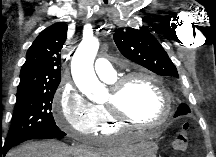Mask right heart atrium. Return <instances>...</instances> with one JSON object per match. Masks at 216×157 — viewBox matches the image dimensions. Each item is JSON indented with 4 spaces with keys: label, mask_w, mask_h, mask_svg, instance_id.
Listing matches in <instances>:
<instances>
[{
    "label": "right heart atrium",
    "mask_w": 216,
    "mask_h": 157,
    "mask_svg": "<svg viewBox=\"0 0 216 157\" xmlns=\"http://www.w3.org/2000/svg\"><path fill=\"white\" fill-rule=\"evenodd\" d=\"M57 125L72 136H89L97 132L99 116L90 103L72 84L65 83L57 90L53 101Z\"/></svg>",
    "instance_id": "1"
}]
</instances>
